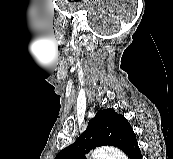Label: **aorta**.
Returning a JSON list of instances; mask_svg holds the SVG:
<instances>
[{"label":"aorta","instance_id":"762f6f07","mask_svg":"<svg viewBox=\"0 0 173 159\" xmlns=\"http://www.w3.org/2000/svg\"><path fill=\"white\" fill-rule=\"evenodd\" d=\"M91 159H127L126 155L119 149L112 147H101L91 152Z\"/></svg>","mask_w":173,"mask_h":159}]
</instances>
